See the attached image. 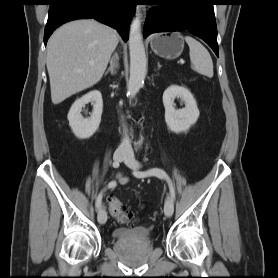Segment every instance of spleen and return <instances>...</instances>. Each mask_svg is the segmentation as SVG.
I'll use <instances>...</instances> for the list:
<instances>
[{
  "mask_svg": "<svg viewBox=\"0 0 278 278\" xmlns=\"http://www.w3.org/2000/svg\"><path fill=\"white\" fill-rule=\"evenodd\" d=\"M192 69L209 78L213 77V62L208 50L196 39L186 36Z\"/></svg>",
  "mask_w": 278,
  "mask_h": 278,
  "instance_id": "spleen-1",
  "label": "spleen"
}]
</instances>
